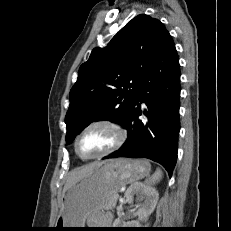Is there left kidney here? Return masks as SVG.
Masks as SVG:
<instances>
[{"instance_id": "1", "label": "left kidney", "mask_w": 231, "mask_h": 231, "mask_svg": "<svg viewBox=\"0 0 231 231\" xmlns=\"http://www.w3.org/2000/svg\"><path fill=\"white\" fill-rule=\"evenodd\" d=\"M134 196H136V200L140 202L136 206V214L138 215L136 224L139 225V221H146L149 215L154 211L159 199V194L154 188L136 183L131 185L125 192V198L129 204L133 202ZM119 222V220H116L114 225H118Z\"/></svg>"}]
</instances>
